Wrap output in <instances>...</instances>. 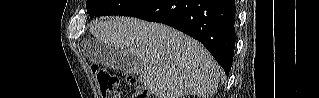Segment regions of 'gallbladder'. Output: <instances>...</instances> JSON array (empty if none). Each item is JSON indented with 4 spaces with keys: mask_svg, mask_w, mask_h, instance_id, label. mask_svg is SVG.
Instances as JSON below:
<instances>
[{
    "mask_svg": "<svg viewBox=\"0 0 319 98\" xmlns=\"http://www.w3.org/2000/svg\"><path fill=\"white\" fill-rule=\"evenodd\" d=\"M85 55L90 60L123 71L124 73H139L140 62L128 50H117L101 43H96Z\"/></svg>",
    "mask_w": 319,
    "mask_h": 98,
    "instance_id": "obj_1",
    "label": "gallbladder"
}]
</instances>
